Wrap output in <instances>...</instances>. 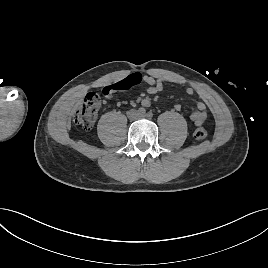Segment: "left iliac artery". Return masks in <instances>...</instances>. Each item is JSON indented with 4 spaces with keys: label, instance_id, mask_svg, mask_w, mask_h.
Returning a JSON list of instances; mask_svg holds the SVG:
<instances>
[{
    "label": "left iliac artery",
    "instance_id": "left-iliac-artery-1",
    "mask_svg": "<svg viewBox=\"0 0 268 268\" xmlns=\"http://www.w3.org/2000/svg\"><path fill=\"white\" fill-rule=\"evenodd\" d=\"M147 117H148V118H152V117H153V113H152V112H148V113H147Z\"/></svg>",
    "mask_w": 268,
    "mask_h": 268
}]
</instances>
